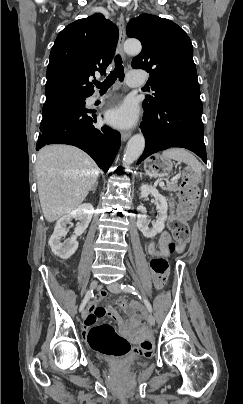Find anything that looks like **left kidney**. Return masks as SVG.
<instances>
[{
  "instance_id": "obj_1",
  "label": "left kidney",
  "mask_w": 243,
  "mask_h": 404,
  "mask_svg": "<svg viewBox=\"0 0 243 404\" xmlns=\"http://www.w3.org/2000/svg\"><path fill=\"white\" fill-rule=\"evenodd\" d=\"M141 196L140 198H147V196H154L156 200V208L159 214L155 224H153V228H149V220L146 214V208L144 206H138V212H142V214H138L137 216V228L142 232L145 238H154L156 234H160L163 232L165 226V222L167 220V210L168 204L165 196H161L156 188L153 186H148V184H142L140 188Z\"/></svg>"
}]
</instances>
